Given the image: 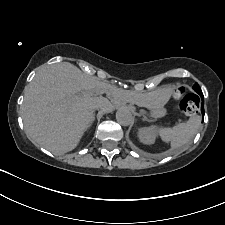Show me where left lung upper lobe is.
Listing matches in <instances>:
<instances>
[{
	"label": "left lung upper lobe",
	"instance_id": "obj_1",
	"mask_svg": "<svg viewBox=\"0 0 225 225\" xmlns=\"http://www.w3.org/2000/svg\"><path fill=\"white\" fill-rule=\"evenodd\" d=\"M193 89L198 94L202 93V91L197 83L194 84Z\"/></svg>",
	"mask_w": 225,
	"mask_h": 225
}]
</instances>
